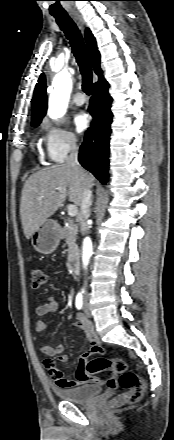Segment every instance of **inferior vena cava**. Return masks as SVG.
I'll use <instances>...</instances> for the list:
<instances>
[{"mask_svg": "<svg viewBox=\"0 0 174 440\" xmlns=\"http://www.w3.org/2000/svg\"><path fill=\"white\" fill-rule=\"evenodd\" d=\"M66 165L73 167L76 170H80L83 173V169L80 167L78 162V146L76 145L75 139L70 141V154L66 159ZM92 203V191L90 188L84 186L82 192V198L80 202V229L82 235H85L88 229L87 220L90 216V206Z\"/></svg>", "mask_w": 174, "mask_h": 440, "instance_id": "inferior-vena-cava-1", "label": "inferior vena cava"}]
</instances>
